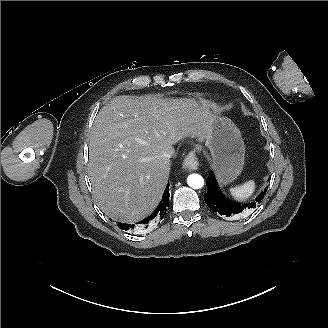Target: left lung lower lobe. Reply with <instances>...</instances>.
Returning a JSON list of instances; mask_svg holds the SVG:
<instances>
[{"instance_id": "0a47b994", "label": "left lung lower lobe", "mask_w": 328, "mask_h": 328, "mask_svg": "<svg viewBox=\"0 0 328 328\" xmlns=\"http://www.w3.org/2000/svg\"><path fill=\"white\" fill-rule=\"evenodd\" d=\"M207 193L204 196V200L207 206L214 212L226 216L232 217L238 214H244L255 208L256 203L262 200L266 190L261 192V194L255 199V201L241 205L237 202H231L227 200L221 193L217 181L213 175L210 173V177L206 179Z\"/></svg>"}]
</instances>
